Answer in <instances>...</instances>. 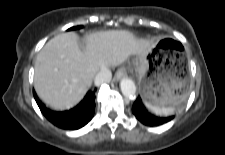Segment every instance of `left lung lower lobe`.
<instances>
[{
    "label": "left lung lower lobe",
    "instance_id": "obj_1",
    "mask_svg": "<svg viewBox=\"0 0 225 155\" xmlns=\"http://www.w3.org/2000/svg\"><path fill=\"white\" fill-rule=\"evenodd\" d=\"M132 112L135 117L144 125L146 126H159L164 123H167L173 116L170 117H159L149 113L144 105L142 104L141 98L138 97L133 104Z\"/></svg>",
    "mask_w": 225,
    "mask_h": 155
}]
</instances>
